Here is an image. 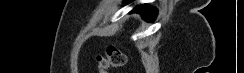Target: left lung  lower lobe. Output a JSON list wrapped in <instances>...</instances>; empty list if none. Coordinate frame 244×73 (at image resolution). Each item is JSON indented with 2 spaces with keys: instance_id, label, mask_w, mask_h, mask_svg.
Listing matches in <instances>:
<instances>
[{
  "instance_id": "obj_1",
  "label": "left lung lower lobe",
  "mask_w": 244,
  "mask_h": 73,
  "mask_svg": "<svg viewBox=\"0 0 244 73\" xmlns=\"http://www.w3.org/2000/svg\"><path fill=\"white\" fill-rule=\"evenodd\" d=\"M127 2H131L130 0H127ZM139 12L141 14V17L146 21H154L157 15V11L155 8L147 5H140L134 8L133 12Z\"/></svg>"
}]
</instances>
